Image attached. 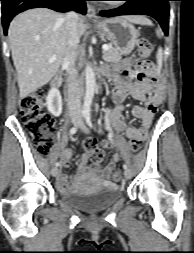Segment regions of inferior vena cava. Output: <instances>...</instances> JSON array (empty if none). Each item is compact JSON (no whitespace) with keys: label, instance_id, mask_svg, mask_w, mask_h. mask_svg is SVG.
<instances>
[{"label":"inferior vena cava","instance_id":"inferior-vena-cava-1","mask_svg":"<svg viewBox=\"0 0 194 253\" xmlns=\"http://www.w3.org/2000/svg\"><path fill=\"white\" fill-rule=\"evenodd\" d=\"M64 21L70 46L64 57V64L67 66V72L69 74V84L67 89L69 116L71 119H80L82 114L80 100L83 94V88L78 79V70L76 68L77 54L75 48L79 44L77 13L74 11L66 13V15H64Z\"/></svg>","mask_w":194,"mask_h":253}]
</instances>
